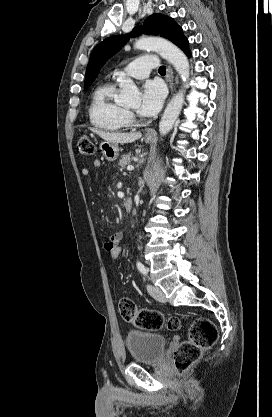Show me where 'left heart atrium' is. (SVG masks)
Returning <instances> with one entry per match:
<instances>
[{
    "label": "left heart atrium",
    "mask_w": 272,
    "mask_h": 417,
    "mask_svg": "<svg viewBox=\"0 0 272 417\" xmlns=\"http://www.w3.org/2000/svg\"><path fill=\"white\" fill-rule=\"evenodd\" d=\"M165 95V88L159 81L146 82L142 89L138 113L144 117L155 115L161 109Z\"/></svg>",
    "instance_id": "39dd6f15"
}]
</instances>
